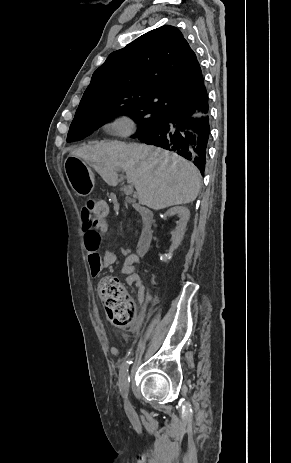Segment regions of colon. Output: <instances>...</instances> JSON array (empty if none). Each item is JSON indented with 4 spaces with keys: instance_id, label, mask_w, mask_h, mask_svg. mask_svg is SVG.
<instances>
[{
    "instance_id": "5ec220e1",
    "label": "colon",
    "mask_w": 291,
    "mask_h": 463,
    "mask_svg": "<svg viewBox=\"0 0 291 463\" xmlns=\"http://www.w3.org/2000/svg\"><path fill=\"white\" fill-rule=\"evenodd\" d=\"M108 216L109 209L101 199H89L83 204L82 218L85 229H94L97 217ZM98 292L112 323L120 327L132 323L135 317L134 303L117 277L106 276L102 278L99 282Z\"/></svg>"
}]
</instances>
